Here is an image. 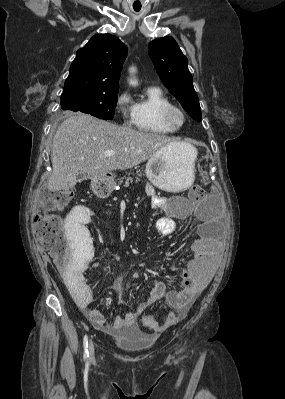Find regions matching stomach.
Instances as JSON below:
<instances>
[{"label":"stomach","mask_w":285,"mask_h":399,"mask_svg":"<svg viewBox=\"0 0 285 399\" xmlns=\"http://www.w3.org/2000/svg\"><path fill=\"white\" fill-rule=\"evenodd\" d=\"M194 146L177 142L155 153L147 162L145 173L149 181L159 189L179 192L188 188L194 181ZM93 193L99 198H107L116 187L112 177L103 176L91 181Z\"/></svg>","instance_id":"obj_1"}]
</instances>
